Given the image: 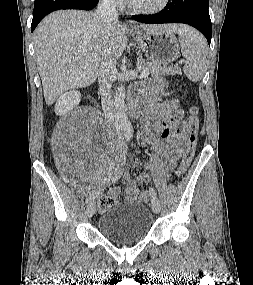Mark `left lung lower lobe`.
<instances>
[{"label": "left lung lower lobe", "mask_w": 253, "mask_h": 285, "mask_svg": "<svg viewBox=\"0 0 253 285\" xmlns=\"http://www.w3.org/2000/svg\"><path fill=\"white\" fill-rule=\"evenodd\" d=\"M209 0H170L164 10L152 15H134L132 19L142 23H185L198 29L210 46L212 24L209 16Z\"/></svg>", "instance_id": "0a47b994"}]
</instances>
